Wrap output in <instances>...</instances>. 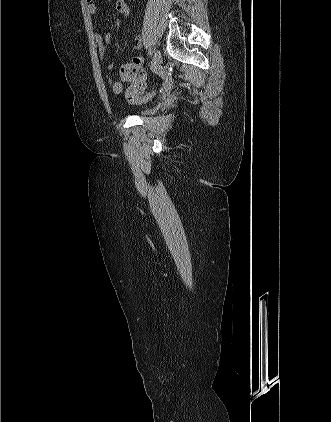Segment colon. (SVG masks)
<instances>
[{
  "label": "colon",
  "mask_w": 331,
  "mask_h": 422,
  "mask_svg": "<svg viewBox=\"0 0 331 422\" xmlns=\"http://www.w3.org/2000/svg\"><path fill=\"white\" fill-rule=\"evenodd\" d=\"M120 76L122 79L127 78H138L142 79L145 77V72L140 66H136L132 63L124 64L120 69ZM127 97L129 100L134 98V90L129 89L127 91Z\"/></svg>",
  "instance_id": "5ec220e1"
}]
</instances>
